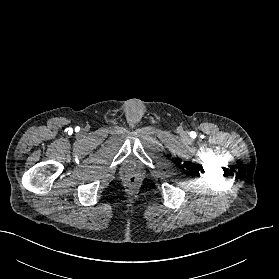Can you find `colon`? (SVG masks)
Here are the masks:
<instances>
[{"mask_svg": "<svg viewBox=\"0 0 279 279\" xmlns=\"http://www.w3.org/2000/svg\"><path fill=\"white\" fill-rule=\"evenodd\" d=\"M129 182L130 183H135L137 181V176L136 175H131L129 178H128Z\"/></svg>", "mask_w": 279, "mask_h": 279, "instance_id": "5ec220e1", "label": "colon"}]
</instances>
